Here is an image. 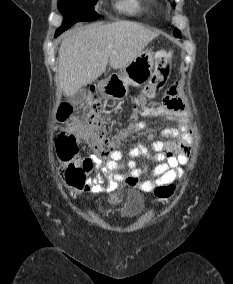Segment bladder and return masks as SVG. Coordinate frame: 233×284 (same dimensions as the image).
Wrapping results in <instances>:
<instances>
[{"instance_id": "1", "label": "bladder", "mask_w": 233, "mask_h": 284, "mask_svg": "<svg viewBox=\"0 0 233 284\" xmlns=\"http://www.w3.org/2000/svg\"><path fill=\"white\" fill-rule=\"evenodd\" d=\"M95 209L102 217H108L117 212L125 220L131 221L143 214L146 209V201L142 193L131 190L128 191L122 206L116 211L106 205L104 198L97 200Z\"/></svg>"}]
</instances>
